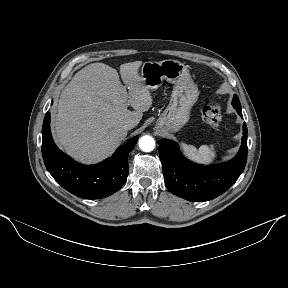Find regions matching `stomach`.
I'll list each match as a JSON object with an SVG mask.
<instances>
[{"label":"stomach","instance_id":"stomach-1","mask_svg":"<svg viewBox=\"0 0 288 288\" xmlns=\"http://www.w3.org/2000/svg\"><path fill=\"white\" fill-rule=\"evenodd\" d=\"M141 78L150 90L167 81L174 85L171 100L156 122L165 132L179 131L190 119V111L196 103L199 91L191 79L187 66L178 60L147 61L141 67Z\"/></svg>","mask_w":288,"mask_h":288}]
</instances>
